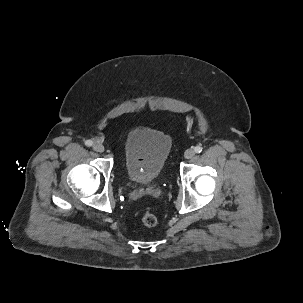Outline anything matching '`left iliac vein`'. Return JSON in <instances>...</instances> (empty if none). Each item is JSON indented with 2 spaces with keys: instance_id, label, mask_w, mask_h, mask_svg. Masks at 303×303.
Here are the masks:
<instances>
[{
  "instance_id": "obj_1",
  "label": "left iliac vein",
  "mask_w": 303,
  "mask_h": 303,
  "mask_svg": "<svg viewBox=\"0 0 303 303\" xmlns=\"http://www.w3.org/2000/svg\"><path fill=\"white\" fill-rule=\"evenodd\" d=\"M195 155V151L193 149H187L184 153V157L186 159H190Z\"/></svg>"
}]
</instances>
